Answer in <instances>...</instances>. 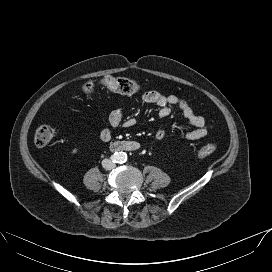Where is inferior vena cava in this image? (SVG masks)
I'll list each match as a JSON object with an SVG mask.
<instances>
[{"instance_id": "inferior-vena-cava-1", "label": "inferior vena cava", "mask_w": 272, "mask_h": 272, "mask_svg": "<svg viewBox=\"0 0 272 272\" xmlns=\"http://www.w3.org/2000/svg\"><path fill=\"white\" fill-rule=\"evenodd\" d=\"M102 166L106 170H112L113 168H115V163L110 159H103Z\"/></svg>"}]
</instances>
